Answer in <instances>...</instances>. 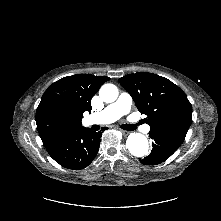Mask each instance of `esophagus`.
Masks as SVG:
<instances>
[{
	"label": "esophagus",
	"instance_id": "obj_1",
	"mask_svg": "<svg viewBox=\"0 0 221 221\" xmlns=\"http://www.w3.org/2000/svg\"><path fill=\"white\" fill-rule=\"evenodd\" d=\"M121 132H122L124 135L130 134V131H127V130H122V129H121Z\"/></svg>",
	"mask_w": 221,
	"mask_h": 221
}]
</instances>
